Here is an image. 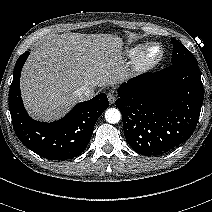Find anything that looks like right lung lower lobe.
I'll list each match as a JSON object with an SVG mask.
<instances>
[{
	"mask_svg": "<svg viewBox=\"0 0 212 212\" xmlns=\"http://www.w3.org/2000/svg\"><path fill=\"white\" fill-rule=\"evenodd\" d=\"M29 55L17 60L9 90V110L15 133L30 150L50 160H67L80 155L88 145L94 125L107 109L106 94L78 103L64 118L43 123L33 120L26 112L20 94V74Z\"/></svg>",
	"mask_w": 212,
	"mask_h": 212,
	"instance_id": "obj_1",
	"label": "right lung lower lobe"
}]
</instances>
